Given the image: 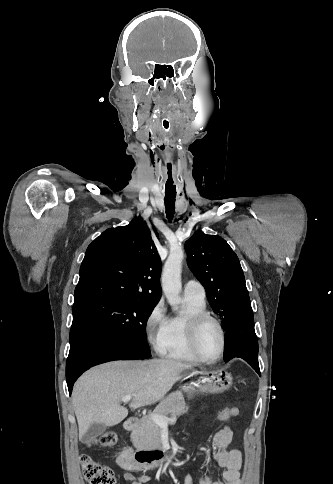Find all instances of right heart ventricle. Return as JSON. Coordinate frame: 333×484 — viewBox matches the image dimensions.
<instances>
[{"label":"right heart ventricle","mask_w":333,"mask_h":484,"mask_svg":"<svg viewBox=\"0 0 333 484\" xmlns=\"http://www.w3.org/2000/svg\"><path fill=\"white\" fill-rule=\"evenodd\" d=\"M186 310L183 314L167 318L162 334L159 353L161 356L190 364L201 361L194 355L188 340V324L190 319L201 313H208L206 302L185 297Z\"/></svg>","instance_id":"1"}]
</instances>
